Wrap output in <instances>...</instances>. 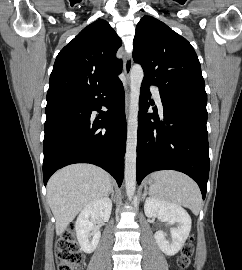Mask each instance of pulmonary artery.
Returning <instances> with one entry per match:
<instances>
[{
  "label": "pulmonary artery",
  "mask_w": 242,
  "mask_h": 270,
  "mask_svg": "<svg viewBox=\"0 0 242 270\" xmlns=\"http://www.w3.org/2000/svg\"><path fill=\"white\" fill-rule=\"evenodd\" d=\"M151 91H152V94L156 100V103H157L159 109L162 110L163 106H162V101H161V97H160V93H159V88L157 86L151 85Z\"/></svg>",
  "instance_id": "1"
}]
</instances>
